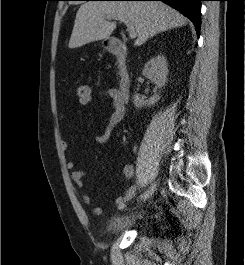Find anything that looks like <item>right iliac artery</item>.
<instances>
[{"mask_svg": "<svg viewBox=\"0 0 245 265\" xmlns=\"http://www.w3.org/2000/svg\"><path fill=\"white\" fill-rule=\"evenodd\" d=\"M146 194V192L144 193V195ZM126 207L125 203H119L118 204V209L123 210Z\"/></svg>", "mask_w": 245, "mask_h": 265, "instance_id": "82829eb1", "label": "right iliac artery"}]
</instances>
